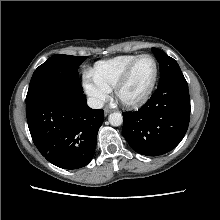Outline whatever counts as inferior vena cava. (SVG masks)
I'll return each mask as SVG.
<instances>
[{"label": "inferior vena cava", "instance_id": "1", "mask_svg": "<svg viewBox=\"0 0 220 220\" xmlns=\"http://www.w3.org/2000/svg\"><path fill=\"white\" fill-rule=\"evenodd\" d=\"M87 102H88L89 107L92 109H101L104 106L103 101L97 98H93V97L88 98Z\"/></svg>", "mask_w": 220, "mask_h": 220}]
</instances>
